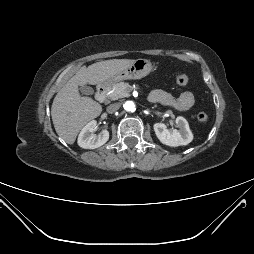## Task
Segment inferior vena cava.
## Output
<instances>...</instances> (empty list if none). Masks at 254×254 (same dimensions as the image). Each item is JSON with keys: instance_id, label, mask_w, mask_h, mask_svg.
I'll return each mask as SVG.
<instances>
[{"instance_id": "inferior-vena-cava-1", "label": "inferior vena cava", "mask_w": 254, "mask_h": 254, "mask_svg": "<svg viewBox=\"0 0 254 254\" xmlns=\"http://www.w3.org/2000/svg\"><path fill=\"white\" fill-rule=\"evenodd\" d=\"M120 103H114L111 104L107 107V112L108 113H114L115 111H117L120 108Z\"/></svg>"}]
</instances>
